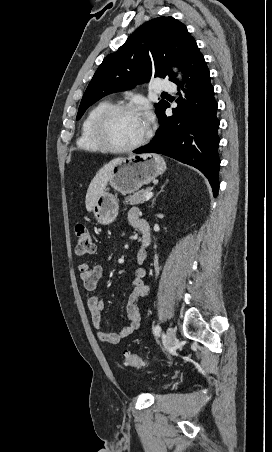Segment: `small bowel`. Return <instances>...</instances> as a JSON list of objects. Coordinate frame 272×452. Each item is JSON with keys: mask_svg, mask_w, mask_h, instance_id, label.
<instances>
[{"mask_svg": "<svg viewBox=\"0 0 272 452\" xmlns=\"http://www.w3.org/2000/svg\"><path fill=\"white\" fill-rule=\"evenodd\" d=\"M129 222L133 227H137L136 223L139 219V211L137 208H131L128 214ZM145 252L137 253V261L142 263L145 260ZM80 280L87 291H93L103 274V267L101 265L91 266L87 263H80L78 265ZM145 271L138 269L135 276L131 280V291L128 297V304L126 308V317L128 324L119 332L107 331L101 322V310L104 307V300L101 295L94 294L87 299V307L91 313V321L97 330V336L100 341L108 344H118L124 338L132 335L139 327L141 321V311L138 301L149 295V288L143 282Z\"/></svg>", "mask_w": 272, "mask_h": 452, "instance_id": "1", "label": "small bowel"}]
</instances>
